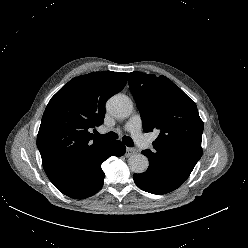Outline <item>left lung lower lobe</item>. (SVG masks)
<instances>
[{
  "mask_svg": "<svg viewBox=\"0 0 248 248\" xmlns=\"http://www.w3.org/2000/svg\"><path fill=\"white\" fill-rule=\"evenodd\" d=\"M133 179L139 188L152 194H166L181 185L162 168L154 164H149L146 172L134 174Z\"/></svg>",
  "mask_w": 248,
  "mask_h": 248,
  "instance_id": "1",
  "label": "left lung lower lobe"
}]
</instances>
